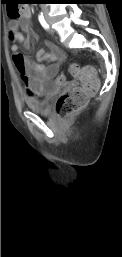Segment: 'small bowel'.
<instances>
[{
  "label": "small bowel",
  "mask_w": 122,
  "mask_h": 257,
  "mask_svg": "<svg viewBox=\"0 0 122 257\" xmlns=\"http://www.w3.org/2000/svg\"><path fill=\"white\" fill-rule=\"evenodd\" d=\"M31 9L27 6L23 8L22 14L9 22V39L12 41V60L15 64V73H19L22 78L28 97L34 98L54 93L53 75L59 72V61L64 57L62 51L53 43L47 41L46 45L50 52L40 50L37 53L38 62L28 58L27 52H19L18 44L28 50L30 39L23 35H32V25L30 21ZM65 80V79H64ZM66 82V80H65Z\"/></svg>",
  "instance_id": "obj_1"
}]
</instances>
